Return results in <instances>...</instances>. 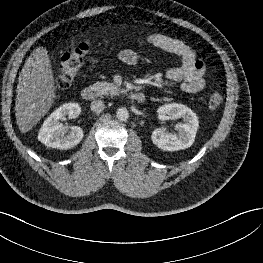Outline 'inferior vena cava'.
Instances as JSON below:
<instances>
[{
	"mask_svg": "<svg viewBox=\"0 0 263 263\" xmlns=\"http://www.w3.org/2000/svg\"><path fill=\"white\" fill-rule=\"evenodd\" d=\"M90 108L95 113H101L105 108V104L102 100H94L92 101Z\"/></svg>",
	"mask_w": 263,
	"mask_h": 263,
	"instance_id": "obj_1",
	"label": "inferior vena cava"
}]
</instances>
